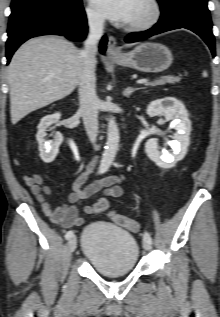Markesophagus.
<instances>
[{"label": "esophagus", "instance_id": "34e87169", "mask_svg": "<svg viewBox=\"0 0 220 317\" xmlns=\"http://www.w3.org/2000/svg\"><path fill=\"white\" fill-rule=\"evenodd\" d=\"M120 55V50L117 47L116 39L113 36L109 37L107 45V56L109 58L116 57Z\"/></svg>", "mask_w": 220, "mask_h": 317}]
</instances>
